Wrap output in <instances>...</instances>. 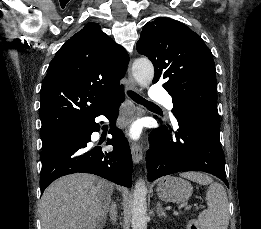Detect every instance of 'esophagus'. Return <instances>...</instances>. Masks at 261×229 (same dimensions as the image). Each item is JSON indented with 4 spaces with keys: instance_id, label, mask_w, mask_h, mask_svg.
I'll list each match as a JSON object with an SVG mask.
<instances>
[{
    "instance_id": "esophagus-1",
    "label": "esophagus",
    "mask_w": 261,
    "mask_h": 229,
    "mask_svg": "<svg viewBox=\"0 0 261 229\" xmlns=\"http://www.w3.org/2000/svg\"><path fill=\"white\" fill-rule=\"evenodd\" d=\"M128 85H129L130 90H135V91L138 90L137 84L135 82V79H134V77L132 75V71H131V61L128 65ZM133 110L137 111L138 108L133 107ZM131 155H132L133 162L135 164H139L142 161L143 152H142V146L139 142H136V141L132 142Z\"/></svg>"
}]
</instances>
